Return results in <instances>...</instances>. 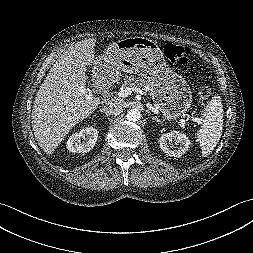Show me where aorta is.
Wrapping results in <instances>:
<instances>
[{"mask_svg":"<svg viewBox=\"0 0 253 253\" xmlns=\"http://www.w3.org/2000/svg\"><path fill=\"white\" fill-rule=\"evenodd\" d=\"M126 116L129 121L135 122L141 118V112L138 109L133 108L127 111Z\"/></svg>","mask_w":253,"mask_h":253,"instance_id":"762f6f07","label":"aorta"}]
</instances>
